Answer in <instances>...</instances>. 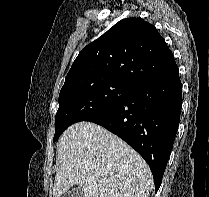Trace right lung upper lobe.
<instances>
[{"instance_id":"right-lung-upper-lobe-1","label":"right lung upper lobe","mask_w":209,"mask_h":197,"mask_svg":"<svg viewBox=\"0 0 209 197\" xmlns=\"http://www.w3.org/2000/svg\"><path fill=\"white\" fill-rule=\"evenodd\" d=\"M175 64L171 50L154 25L141 18H127L79 53L63 87L100 80L137 87Z\"/></svg>"}]
</instances>
